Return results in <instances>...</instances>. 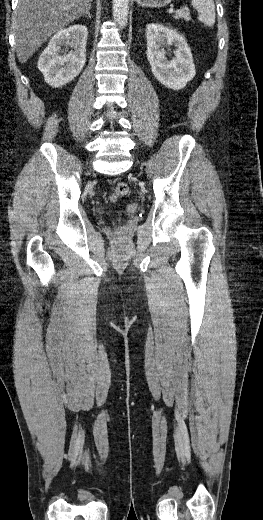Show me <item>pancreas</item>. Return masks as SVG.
<instances>
[{
	"label": "pancreas",
	"instance_id": "1",
	"mask_svg": "<svg viewBox=\"0 0 263 520\" xmlns=\"http://www.w3.org/2000/svg\"><path fill=\"white\" fill-rule=\"evenodd\" d=\"M174 18L175 19L183 18V19H185V21L191 20L189 11L185 10V9H181L180 11H177Z\"/></svg>",
	"mask_w": 263,
	"mask_h": 520
}]
</instances>
